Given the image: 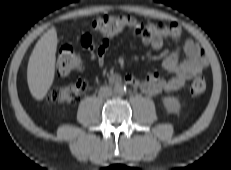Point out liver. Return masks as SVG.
Returning a JSON list of instances; mask_svg holds the SVG:
<instances>
[{"label":"liver","mask_w":231,"mask_h":170,"mask_svg":"<svg viewBox=\"0 0 231 170\" xmlns=\"http://www.w3.org/2000/svg\"><path fill=\"white\" fill-rule=\"evenodd\" d=\"M57 31L49 29L36 43L27 67V82L31 95L42 100L48 93L55 75Z\"/></svg>","instance_id":"obj_1"}]
</instances>
